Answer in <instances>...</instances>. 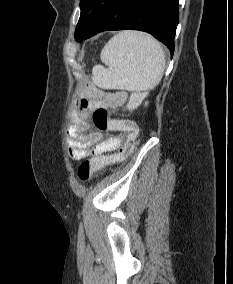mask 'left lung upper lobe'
Wrapping results in <instances>:
<instances>
[{"label":"left lung upper lobe","instance_id":"5c2ea615","mask_svg":"<svg viewBox=\"0 0 233 284\" xmlns=\"http://www.w3.org/2000/svg\"><path fill=\"white\" fill-rule=\"evenodd\" d=\"M106 0H81V17L75 30V39L81 40L92 26L95 17Z\"/></svg>","mask_w":233,"mask_h":284}]
</instances>
